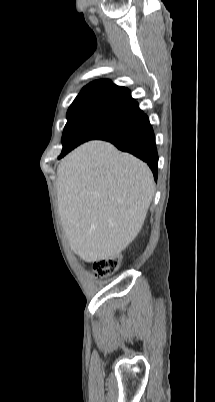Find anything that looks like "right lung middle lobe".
Returning <instances> with one entry per match:
<instances>
[{
    "instance_id": "dd1d6c3e",
    "label": "right lung middle lobe",
    "mask_w": 215,
    "mask_h": 402,
    "mask_svg": "<svg viewBox=\"0 0 215 402\" xmlns=\"http://www.w3.org/2000/svg\"><path fill=\"white\" fill-rule=\"evenodd\" d=\"M141 114L138 103L108 95L77 96L67 112L59 158L88 140L116 136Z\"/></svg>"
}]
</instances>
